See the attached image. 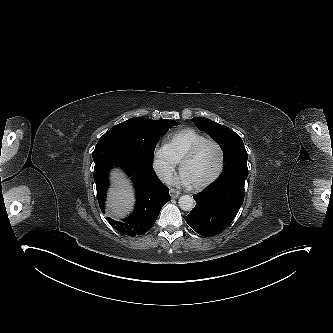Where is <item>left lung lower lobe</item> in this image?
<instances>
[{
  "label": "left lung lower lobe",
  "instance_id": "left-lung-lower-lobe-1",
  "mask_svg": "<svg viewBox=\"0 0 333 333\" xmlns=\"http://www.w3.org/2000/svg\"><path fill=\"white\" fill-rule=\"evenodd\" d=\"M193 197L197 204L184 219L198 234L214 236L236 217L244 201V185L216 180Z\"/></svg>",
  "mask_w": 333,
  "mask_h": 333
}]
</instances>
